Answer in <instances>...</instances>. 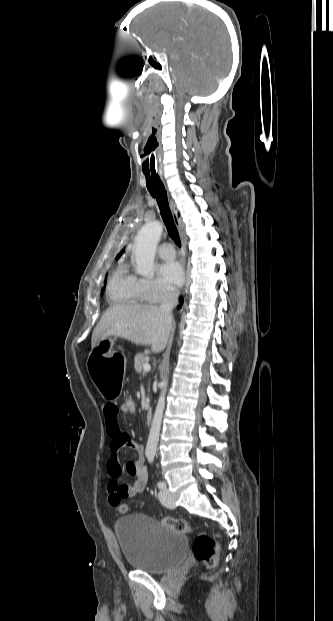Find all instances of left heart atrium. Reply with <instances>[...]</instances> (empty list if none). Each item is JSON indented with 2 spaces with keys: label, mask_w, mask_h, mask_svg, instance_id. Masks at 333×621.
Returning a JSON list of instances; mask_svg holds the SVG:
<instances>
[{
  "label": "left heart atrium",
  "mask_w": 333,
  "mask_h": 621,
  "mask_svg": "<svg viewBox=\"0 0 333 621\" xmlns=\"http://www.w3.org/2000/svg\"><path fill=\"white\" fill-rule=\"evenodd\" d=\"M159 277L170 288L180 286L184 281V271L176 261H168L160 265Z\"/></svg>",
  "instance_id": "39dd6f15"
}]
</instances>
